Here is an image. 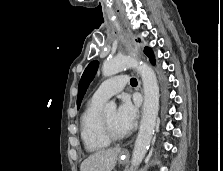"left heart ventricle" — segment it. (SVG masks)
Returning a JSON list of instances; mask_svg holds the SVG:
<instances>
[{"instance_id": "b2bd125f", "label": "left heart ventricle", "mask_w": 223, "mask_h": 171, "mask_svg": "<svg viewBox=\"0 0 223 171\" xmlns=\"http://www.w3.org/2000/svg\"><path fill=\"white\" fill-rule=\"evenodd\" d=\"M104 117L107 121V124L111 131L116 135H123L125 134L121 128L118 126L116 122V111H109L104 114Z\"/></svg>"}]
</instances>
